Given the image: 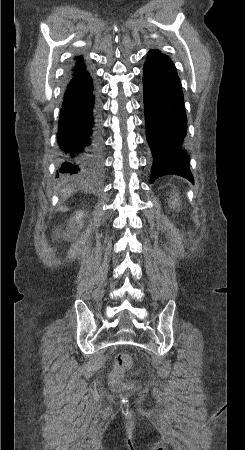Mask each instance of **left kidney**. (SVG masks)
Masks as SVG:
<instances>
[{"label":"left kidney","instance_id":"left-kidney-1","mask_svg":"<svg viewBox=\"0 0 245 450\" xmlns=\"http://www.w3.org/2000/svg\"><path fill=\"white\" fill-rule=\"evenodd\" d=\"M178 200L175 198L174 202H172L173 205L177 204Z\"/></svg>","mask_w":245,"mask_h":450}]
</instances>
